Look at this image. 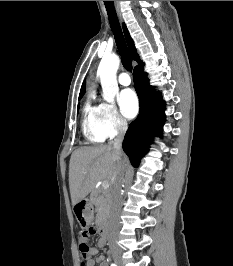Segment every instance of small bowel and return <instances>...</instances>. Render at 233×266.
Wrapping results in <instances>:
<instances>
[{"label": "small bowel", "instance_id": "obj_1", "mask_svg": "<svg viewBox=\"0 0 233 266\" xmlns=\"http://www.w3.org/2000/svg\"><path fill=\"white\" fill-rule=\"evenodd\" d=\"M106 245L102 238L98 241V247L102 248ZM83 266H107L106 257L102 254H98V249L90 247L89 256L83 261Z\"/></svg>", "mask_w": 233, "mask_h": 266}]
</instances>
